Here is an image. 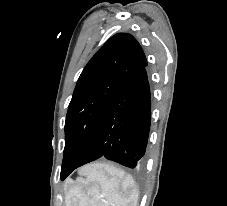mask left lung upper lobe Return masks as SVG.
<instances>
[{"label": "left lung upper lobe", "instance_id": "left-lung-upper-lobe-1", "mask_svg": "<svg viewBox=\"0 0 227 206\" xmlns=\"http://www.w3.org/2000/svg\"><path fill=\"white\" fill-rule=\"evenodd\" d=\"M146 65L140 44L128 33L112 36L90 59L77 81L68 107L61 171L80 161L114 96Z\"/></svg>", "mask_w": 227, "mask_h": 206}]
</instances>
